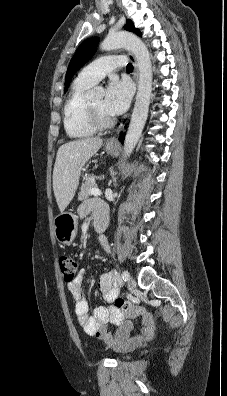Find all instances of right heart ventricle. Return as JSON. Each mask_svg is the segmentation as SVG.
<instances>
[{
    "label": "right heart ventricle",
    "instance_id": "1",
    "mask_svg": "<svg viewBox=\"0 0 227 396\" xmlns=\"http://www.w3.org/2000/svg\"><path fill=\"white\" fill-rule=\"evenodd\" d=\"M77 78L69 92L63 108V123L67 135L71 138H85L93 135L97 128L93 126L86 109L85 93L91 87Z\"/></svg>",
    "mask_w": 227,
    "mask_h": 396
}]
</instances>
